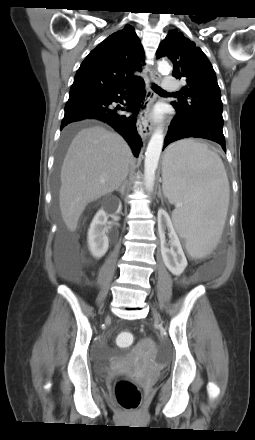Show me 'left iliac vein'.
I'll return each mask as SVG.
<instances>
[{
    "label": "left iliac vein",
    "mask_w": 255,
    "mask_h": 440,
    "mask_svg": "<svg viewBox=\"0 0 255 440\" xmlns=\"http://www.w3.org/2000/svg\"><path fill=\"white\" fill-rule=\"evenodd\" d=\"M153 315H154L155 320L159 322L160 321V317H159V315L157 314L156 311H153Z\"/></svg>",
    "instance_id": "1"
}]
</instances>
